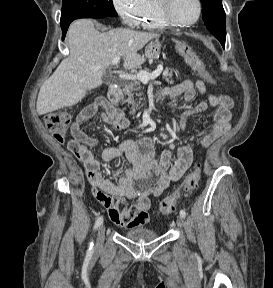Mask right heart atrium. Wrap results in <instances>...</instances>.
I'll list each match as a JSON object with an SVG mask.
<instances>
[{
    "mask_svg": "<svg viewBox=\"0 0 273 288\" xmlns=\"http://www.w3.org/2000/svg\"><path fill=\"white\" fill-rule=\"evenodd\" d=\"M112 4L122 19L129 26H137L145 6V0H112Z\"/></svg>",
    "mask_w": 273,
    "mask_h": 288,
    "instance_id": "d8ad5b80",
    "label": "right heart atrium"
}]
</instances>
